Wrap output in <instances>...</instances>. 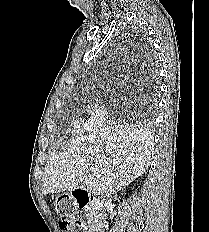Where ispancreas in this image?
Wrapping results in <instances>:
<instances>
[{
  "instance_id": "pancreas-1",
  "label": "pancreas",
  "mask_w": 209,
  "mask_h": 232,
  "mask_svg": "<svg viewBox=\"0 0 209 232\" xmlns=\"http://www.w3.org/2000/svg\"><path fill=\"white\" fill-rule=\"evenodd\" d=\"M98 214L99 212L97 211L95 207H90L89 213L87 214V218L89 222H93L94 220L98 219L99 217Z\"/></svg>"
}]
</instances>
